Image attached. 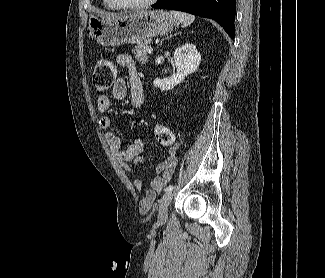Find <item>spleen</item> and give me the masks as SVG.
<instances>
[{"label":"spleen","instance_id":"3e777b00","mask_svg":"<svg viewBox=\"0 0 325 278\" xmlns=\"http://www.w3.org/2000/svg\"><path fill=\"white\" fill-rule=\"evenodd\" d=\"M177 20L182 23L184 26H188L195 20V17L191 14L179 12V11H171L170 12Z\"/></svg>","mask_w":325,"mask_h":278}]
</instances>
